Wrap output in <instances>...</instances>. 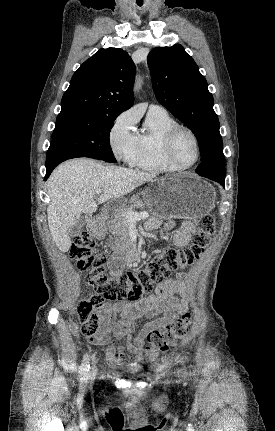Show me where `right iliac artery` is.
Listing matches in <instances>:
<instances>
[{
    "label": "right iliac artery",
    "instance_id": "1",
    "mask_svg": "<svg viewBox=\"0 0 275 431\" xmlns=\"http://www.w3.org/2000/svg\"><path fill=\"white\" fill-rule=\"evenodd\" d=\"M89 367H90L89 356L86 354L83 357V361L80 367V374H81L82 380H86L88 378Z\"/></svg>",
    "mask_w": 275,
    "mask_h": 431
}]
</instances>
